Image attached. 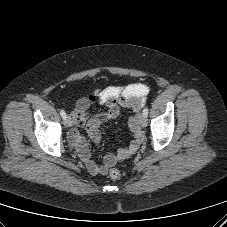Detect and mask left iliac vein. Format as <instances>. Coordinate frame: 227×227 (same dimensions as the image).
Listing matches in <instances>:
<instances>
[{
	"mask_svg": "<svg viewBox=\"0 0 227 227\" xmlns=\"http://www.w3.org/2000/svg\"><path fill=\"white\" fill-rule=\"evenodd\" d=\"M138 121H139V124H140L141 127L144 128V127L147 126V117L144 116L143 114L139 115Z\"/></svg>",
	"mask_w": 227,
	"mask_h": 227,
	"instance_id": "left-iliac-vein-1",
	"label": "left iliac vein"
}]
</instances>
